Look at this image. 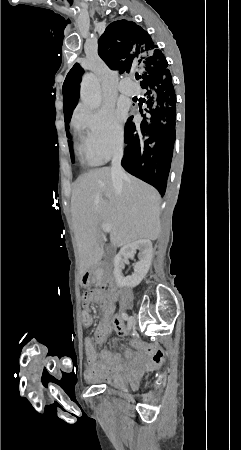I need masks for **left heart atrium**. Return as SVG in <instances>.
Masks as SVG:
<instances>
[{"label":"left heart atrium","mask_w":241,"mask_h":450,"mask_svg":"<svg viewBox=\"0 0 241 450\" xmlns=\"http://www.w3.org/2000/svg\"><path fill=\"white\" fill-rule=\"evenodd\" d=\"M119 117H121V118L124 117V112L123 111H119Z\"/></svg>","instance_id":"39dd6f15"}]
</instances>
